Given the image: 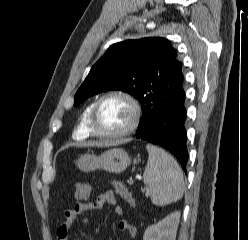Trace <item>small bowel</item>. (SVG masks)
<instances>
[{"instance_id": "obj_1", "label": "small bowel", "mask_w": 248, "mask_h": 240, "mask_svg": "<svg viewBox=\"0 0 248 240\" xmlns=\"http://www.w3.org/2000/svg\"><path fill=\"white\" fill-rule=\"evenodd\" d=\"M106 203L115 207V214L118 217H124V210L120 205H118L114 193L112 191L102 192L93 202L77 203L73 208L66 211L65 221L59 226L56 232L57 240H68L70 230L78 217L86 216L84 222L88 224L87 215L93 211L100 210ZM119 228L121 231L128 233L133 238L136 236V226L127 219H122L120 221Z\"/></svg>"}]
</instances>
